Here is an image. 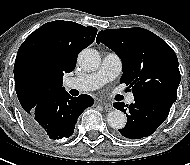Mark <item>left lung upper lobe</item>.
Here are the masks:
<instances>
[{
	"instance_id": "obj_1",
	"label": "left lung upper lobe",
	"mask_w": 190,
	"mask_h": 165,
	"mask_svg": "<svg viewBox=\"0 0 190 165\" xmlns=\"http://www.w3.org/2000/svg\"><path fill=\"white\" fill-rule=\"evenodd\" d=\"M96 42L105 44L121 58L123 74L120 83L132 89L134 98L176 101L180 83L178 59L163 39L135 27L100 31Z\"/></svg>"
}]
</instances>
